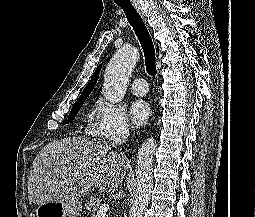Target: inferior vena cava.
I'll return each instance as SVG.
<instances>
[{"mask_svg": "<svg viewBox=\"0 0 255 217\" xmlns=\"http://www.w3.org/2000/svg\"><path fill=\"white\" fill-rule=\"evenodd\" d=\"M129 136V130L127 127H122L121 129H119V131L116 133L115 136H113L112 141H113V145L114 144H122L124 143L127 138Z\"/></svg>", "mask_w": 255, "mask_h": 217, "instance_id": "obj_1", "label": "inferior vena cava"}]
</instances>
